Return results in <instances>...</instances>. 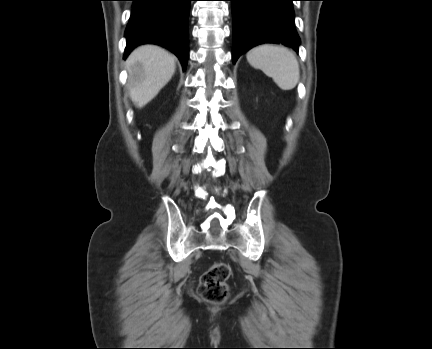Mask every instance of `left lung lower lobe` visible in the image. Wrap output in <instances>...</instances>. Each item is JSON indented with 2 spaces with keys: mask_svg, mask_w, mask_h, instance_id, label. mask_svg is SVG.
Returning <instances> with one entry per match:
<instances>
[{
  "mask_svg": "<svg viewBox=\"0 0 432 349\" xmlns=\"http://www.w3.org/2000/svg\"><path fill=\"white\" fill-rule=\"evenodd\" d=\"M233 12V62L263 43H281L298 52L293 0H229Z\"/></svg>",
  "mask_w": 432,
  "mask_h": 349,
  "instance_id": "0a47b994",
  "label": "left lung lower lobe"
}]
</instances>
